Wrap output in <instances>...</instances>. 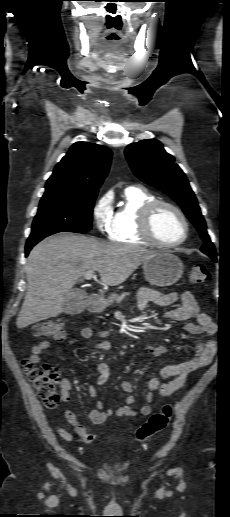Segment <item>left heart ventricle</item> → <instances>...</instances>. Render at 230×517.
<instances>
[{"instance_id": "b2bd125f", "label": "left heart ventricle", "mask_w": 230, "mask_h": 517, "mask_svg": "<svg viewBox=\"0 0 230 517\" xmlns=\"http://www.w3.org/2000/svg\"><path fill=\"white\" fill-rule=\"evenodd\" d=\"M155 236L163 242H175L184 234V225L180 217L170 208L161 207L153 219Z\"/></svg>"}]
</instances>
